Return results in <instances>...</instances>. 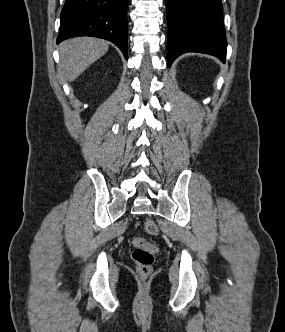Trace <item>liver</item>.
I'll use <instances>...</instances> for the list:
<instances>
[{"mask_svg": "<svg viewBox=\"0 0 285 332\" xmlns=\"http://www.w3.org/2000/svg\"><path fill=\"white\" fill-rule=\"evenodd\" d=\"M108 42L93 37H76L59 46L61 75L68 82L78 78L92 63L108 51Z\"/></svg>", "mask_w": 285, "mask_h": 332, "instance_id": "6515ba94", "label": "liver"}]
</instances>
